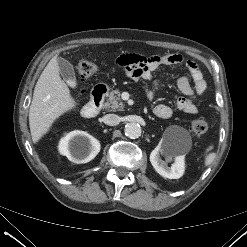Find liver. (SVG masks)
Instances as JSON below:
<instances>
[{
    "label": "liver",
    "instance_id": "1",
    "mask_svg": "<svg viewBox=\"0 0 247 247\" xmlns=\"http://www.w3.org/2000/svg\"><path fill=\"white\" fill-rule=\"evenodd\" d=\"M77 103L60 77L57 57L54 56L40 75L29 109V127L34 143L51 128L54 121L74 109Z\"/></svg>",
    "mask_w": 247,
    "mask_h": 247
}]
</instances>
